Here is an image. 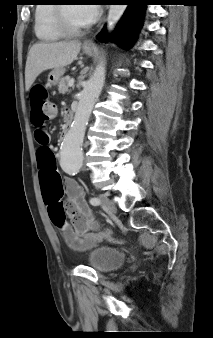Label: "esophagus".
Masks as SVG:
<instances>
[{
  "mask_svg": "<svg viewBox=\"0 0 213 338\" xmlns=\"http://www.w3.org/2000/svg\"><path fill=\"white\" fill-rule=\"evenodd\" d=\"M84 45H85V46H93L94 43H93L92 40H88V41H86V42L84 43Z\"/></svg>",
  "mask_w": 213,
  "mask_h": 338,
  "instance_id": "34e87169",
  "label": "esophagus"
}]
</instances>
